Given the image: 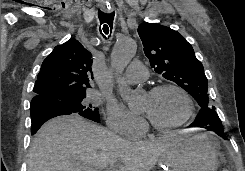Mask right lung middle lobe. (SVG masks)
Returning a JSON list of instances; mask_svg holds the SVG:
<instances>
[{"instance_id": "right-lung-middle-lobe-1", "label": "right lung middle lobe", "mask_w": 245, "mask_h": 171, "mask_svg": "<svg viewBox=\"0 0 245 171\" xmlns=\"http://www.w3.org/2000/svg\"><path fill=\"white\" fill-rule=\"evenodd\" d=\"M86 94L70 96V95H55L50 98L68 107L72 112L91 119L95 122H100L98 108L93 107L85 101Z\"/></svg>"}]
</instances>
